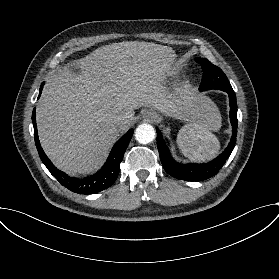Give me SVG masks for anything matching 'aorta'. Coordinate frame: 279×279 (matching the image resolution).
Wrapping results in <instances>:
<instances>
[{
	"mask_svg": "<svg viewBox=\"0 0 279 279\" xmlns=\"http://www.w3.org/2000/svg\"><path fill=\"white\" fill-rule=\"evenodd\" d=\"M155 129L149 124H141L136 128L135 139L141 144H148L155 139Z\"/></svg>",
	"mask_w": 279,
	"mask_h": 279,
	"instance_id": "762f6f07",
	"label": "aorta"
}]
</instances>
